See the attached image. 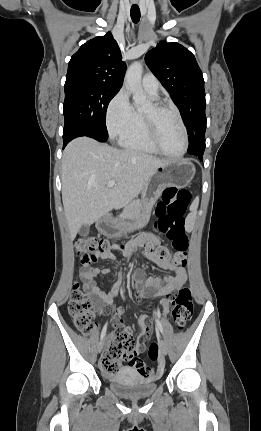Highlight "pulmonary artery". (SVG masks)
<instances>
[{"instance_id": "pulmonary-artery-1", "label": "pulmonary artery", "mask_w": 261, "mask_h": 431, "mask_svg": "<svg viewBox=\"0 0 261 431\" xmlns=\"http://www.w3.org/2000/svg\"><path fill=\"white\" fill-rule=\"evenodd\" d=\"M143 88L152 95H157L159 82L153 74H145L142 79Z\"/></svg>"}]
</instances>
